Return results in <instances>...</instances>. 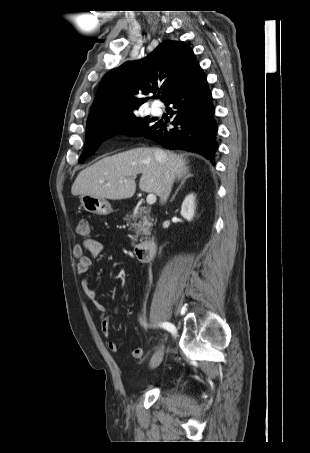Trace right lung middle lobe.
<instances>
[{"label":"right lung middle lobe","mask_w":310,"mask_h":453,"mask_svg":"<svg viewBox=\"0 0 310 453\" xmlns=\"http://www.w3.org/2000/svg\"><path fill=\"white\" fill-rule=\"evenodd\" d=\"M153 120L149 117L138 118L135 113L94 125L86 129V142L79 163L92 155L99 144L112 133H128L135 136H143L153 126Z\"/></svg>","instance_id":"1"}]
</instances>
